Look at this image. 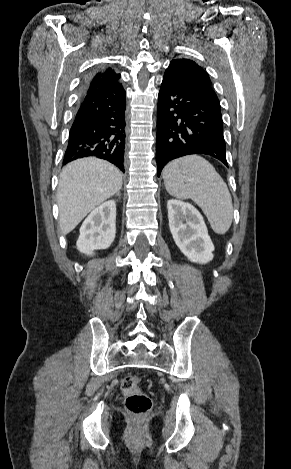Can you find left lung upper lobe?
<instances>
[{"mask_svg":"<svg viewBox=\"0 0 291 469\" xmlns=\"http://www.w3.org/2000/svg\"><path fill=\"white\" fill-rule=\"evenodd\" d=\"M165 74L178 77L181 81L218 100L211 87L208 74L194 61L189 59H174L170 62Z\"/></svg>","mask_w":291,"mask_h":469,"instance_id":"left-lung-upper-lobe-1","label":"left lung upper lobe"}]
</instances>
